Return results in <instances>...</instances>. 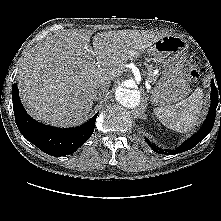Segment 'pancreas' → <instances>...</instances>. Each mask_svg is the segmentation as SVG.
I'll return each instance as SVG.
<instances>
[{"instance_id": "cf45deb5", "label": "pancreas", "mask_w": 221, "mask_h": 221, "mask_svg": "<svg viewBox=\"0 0 221 221\" xmlns=\"http://www.w3.org/2000/svg\"><path fill=\"white\" fill-rule=\"evenodd\" d=\"M147 75H148V79H150L151 81H155V76L152 75L151 69H149V72L147 73Z\"/></svg>"}]
</instances>
